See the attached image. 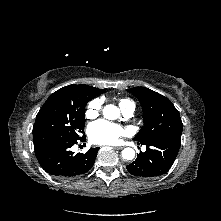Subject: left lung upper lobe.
Returning <instances> with one entry per match:
<instances>
[{
    "label": "left lung upper lobe",
    "instance_id": "obj_1",
    "mask_svg": "<svg viewBox=\"0 0 221 221\" xmlns=\"http://www.w3.org/2000/svg\"><path fill=\"white\" fill-rule=\"evenodd\" d=\"M127 91L140 101L144 117V126L133 140L144 142L164 135L181 138L183 124L178 110L170 100L145 87H134Z\"/></svg>",
    "mask_w": 221,
    "mask_h": 221
}]
</instances>
